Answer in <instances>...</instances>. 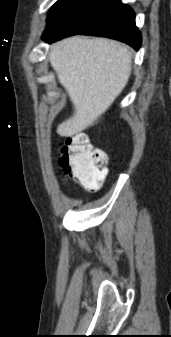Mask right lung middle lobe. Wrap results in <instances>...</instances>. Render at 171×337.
<instances>
[{
    "instance_id": "obj_1",
    "label": "right lung middle lobe",
    "mask_w": 171,
    "mask_h": 337,
    "mask_svg": "<svg viewBox=\"0 0 171 337\" xmlns=\"http://www.w3.org/2000/svg\"><path fill=\"white\" fill-rule=\"evenodd\" d=\"M74 0H58L53 7L51 8L48 18L47 24L53 22L57 17H59L73 2Z\"/></svg>"
}]
</instances>
